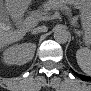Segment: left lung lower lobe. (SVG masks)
I'll return each instance as SVG.
<instances>
[{
  "label": "left lung lower lobe",
  "mask_w": 91,
  "mask_h": 91,
  "mask_svg": "<svg viewBox=\"0 0 91 91\" xmlns=\"http://www.w3.org/2000/svg\"><path fill=\"white\" fill-rule=\"evenodd\" d=\"M73 73H75V72L73 71ZM75 74H77V73H75ZM78 76H80V77L82 78V76H81V75H79V74H78Z\"/></svg>",
  "instance_id": "obj_1"
}]
</instances>
